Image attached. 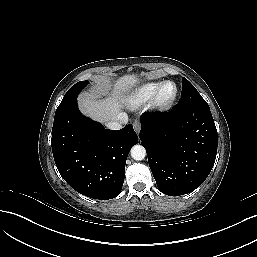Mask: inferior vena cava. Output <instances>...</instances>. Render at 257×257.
<instances>
[{
	"label": "inferior vena cava",
	"instance_id": "inferior-vena-cava-1",
	"mask_svg": "<svg viewBox=\"0 0 257 257\" xmlns=\"http://www.w3.org/2000/svg\"><path fill=\"white\" fill-rule=\"evenodd\" d=\"M128 122V115L125 112L118 113L115 120L107 123V128L111 130H119Z\"/></svg>",
	"mask_w": 257,
	"mask_h": 257
}]
</instances>
